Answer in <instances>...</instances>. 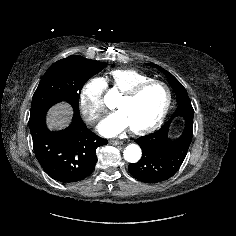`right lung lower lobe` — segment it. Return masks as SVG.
<instances>
[{
  "instance_id": "obj_1",
  "label": "right lung lower lobe",
  "mask_w": 236,
  "mask_h": 236,
  "mask_svg": "<svg viewBox=\"0 0 236 236\" xmlns=\"http://www.w3.org/2000/svg\"><path fill=\"white\" fill-rule=\"evenodd\" d=\"M45 116L40 113L29 119L39 164L51 178L62 183L86 178L96 165V149L106 145L107 140L91 132L78 114H74L68 128L60 131H50Z\"/></svg>"
}]
</instances>
